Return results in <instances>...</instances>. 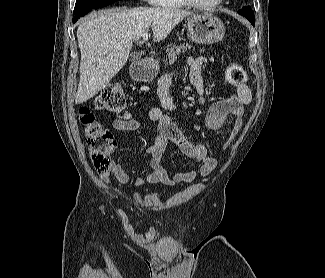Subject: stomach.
<instances>
[{"label":"stomach","instance_id":"stomach-1","mask_svg":"<svg viewBox=\"0 0 325 278\" xmlns=\"http://www.w3.org/2000/svg\"><path fill=\"white\" fill-rule=\"evenodd\" d=\"M187 35L191 41L199 44H213L221 41L225 35L223 22L211 13H200L187 19ZM158 63L138 66L131 76L136 81L150 82L158 73Z\"/></svg>","mask_w":325,"mask_h":278}]
</instances>
